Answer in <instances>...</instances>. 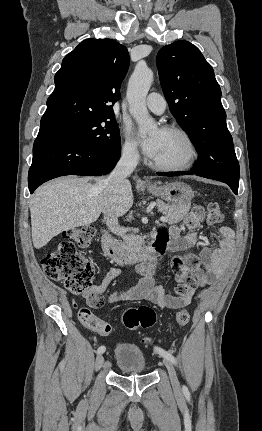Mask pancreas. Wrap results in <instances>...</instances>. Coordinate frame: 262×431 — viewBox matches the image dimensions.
<instances>
[{
  "instance_id": "pancreas-1",
  "label": "pancreas",
  "mask_w": 262,
  "mask_h": 431,
  "mask_svg": "<svg viewBox=\"0 0 262 431\" xmlns=\"http://www.w3.org/2000/svg\"><path fill=\"white\" fill-rule=\"evenodd\" d=\"M158 210L167 218L168 224H174L183 220L189 212L190 205H168L161 200H157ZM143 239L140 236L128 235L122 242V247L129 251H136L142 248Z\"/></svg>"
}]
</instances>
